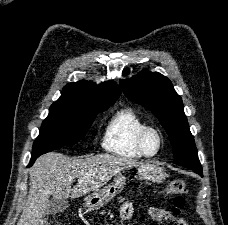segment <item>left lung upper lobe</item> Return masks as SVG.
Wrapping results in <instances>:
<instances>
[{
    "instance_id": "left-lung-upper-lobe-1",
    "label": "left lung upper lobe",
    "mask_w": 228,
    "mask_h": 225,
    "mask_svg": "<svg viewBox=\"0 0 228 225\" xmlns=\"http://www.w3.org/2000/svg\"><path fill=\"white\" fill-rule=\"evenodd\" d=\"M125 95L141 104L159 119L173 146L175 163L202 173L193 135L189 130L181 97L168 78L160 73L142 71L120 82Z\"/></svg>"
}]
</instances>
